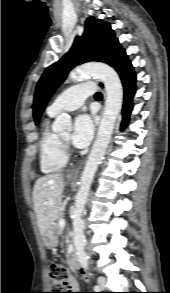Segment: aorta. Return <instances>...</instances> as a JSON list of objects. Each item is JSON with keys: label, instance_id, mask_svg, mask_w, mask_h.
<instances>
[{"label": "aorta", "instance_id": "1", "mask_svg": "<svg viewBox=\"0 0 170 293\" xmlns=\"http://www.w3.org/2000/svg\"><path fill=\"white\" fill-rule=\"evenodd\" d=\"M73 81H83L92 76L100 79L106 91V103L103 116L98 128L96 140L88 156L80 177L79 190L75 198L73 211V241L78 261L82 267L88 266V256L85 250L84 221L82 215L90 187L110 142L116 119L120 113L123 89L116 71L104 63H88L70 73ZM71 119L67 114H60L53 124L54 131H71Z\"/></svg>", "mask_w": 170, "mask_h": 293}]
</instances>
